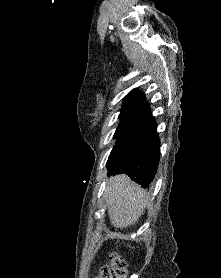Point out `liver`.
Here are the masks:
<instances>
[{
	"label": "liver",
	"instance_id": "1",
	"mask_svg": "<svg viewBox=\"0 0 221 278\" xmlns=\"http://www.w3.org/2000/svg\"><path fill=\"white\" fill-rule=\"evenodd\" d=\"M104 198L111 224L120 229L137 222L148 203L146 192L126 175L109 178Z\"/></svg>",
	"mask_w": 221,
	"mask_h": 278
}]
</instances>
